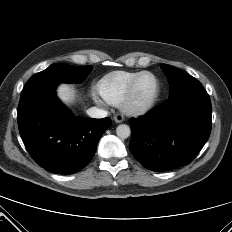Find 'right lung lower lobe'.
<instances>
[{"instance_id":"1","label":"right lung lower lobe","mask_w":232,"mask_h":232,"mask_svg":"<svg viewBox=\"0 0 232 232\" xmlns=\"http://www.w3.org/2000/svg\"><path fill=\"white\" fill-rule=\"evenodd\" d=\"M57 84L21 95L18 126L31 157L44 169L72 174L92 159L109 118L75 117L55 95Z\"/></svg>"}]
</instances>
